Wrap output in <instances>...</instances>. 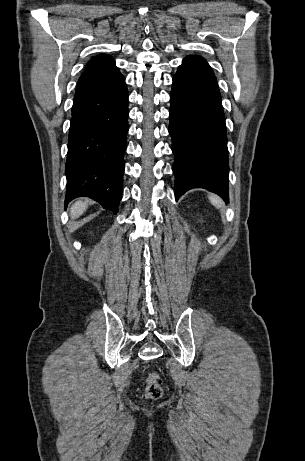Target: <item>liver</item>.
Listing matches in <instances>:
<instances>
[{"label":"liver","instance_id":"liver-1","mask_svg":"<svg viewBox=\"0 0 305 461\" xmlns=\"http://www.w3.org/2000/svg\"><path fill=\"white\" fill-rule=\"evenodd\" d=\"M87 208V201L78 200L70 208V216L72 218L79 217Z\"/></svg>","mask_w":305,"mask_h":461}]
</instances>
